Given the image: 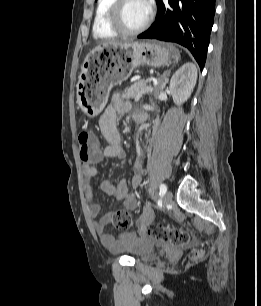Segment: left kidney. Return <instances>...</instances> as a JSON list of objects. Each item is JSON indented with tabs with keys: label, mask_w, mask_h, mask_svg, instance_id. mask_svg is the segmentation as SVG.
<instances>
[{
	"label": "left kidney",
	"mask_w": 261,
	"mask_h": 306,
	"mask_svg": "<svg viewBox=\"0 0 261 306\" xmlns=\"http://www.w3.org/2000/svg\"><path fill=\"white\" fill-rule=\"evenodd\" d=\"M197 68L194 63H186L171 77L169 89L173 101L180 105L187 101L196 85Z\"/></svg>",
	"instance_id": "left-kidney-1"
}]
</instances>
